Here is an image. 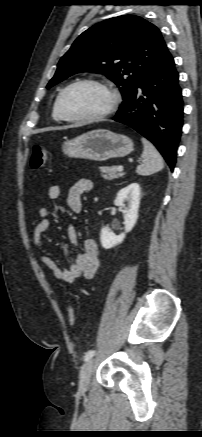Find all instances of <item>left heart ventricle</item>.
<instances>
[{
    "mask_svg": "<svg viewBox=\"0 0 202 437\" xmlns=\"http://www.w3.org/2000/svg\"><path fill=\"white\" fill-rule=\"evenodd\" d=\"M109 101L110 97L103 89L82 84L68 91L63 100V107L70 116L84 117L102 112Z\"/></svg>",
    "mask_w": 202,
    "mask_h": 437,
    "instance_id": "obj_1",
    "label": "left heart ventricle"
}]
</instances>
